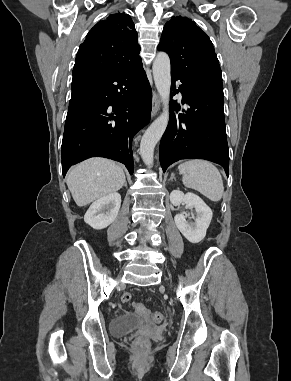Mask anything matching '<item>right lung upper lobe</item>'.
Returning a JSON list of instances; mask_svg holds the SVG:
<instances>
[{"label": "right lung upper lobe", "instance_id": "obj_1", "mask_svg": "<svg viewBox=\"0 0 291 381\" xmlns=\"http://www.w3.org/2000/svg\"><path fill=\"white\" fill-rule=\"evenodd\" d=\"M139 51L130 16L115 13L89 31L79 47L73 70L114 71L140 59Z\"/></svg>", "mask_w": 291, "mask_h": 381}]
</instances>
